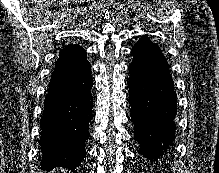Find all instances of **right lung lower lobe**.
Returning a JSON list of instances; mask_svg holds the SVG:
<instances>
[{
    "instance_id": "obj_1",
    "label": "right lung lower lobe",
    "mask_w": 219,
    "mask_h": 173,
    "mask_svg": "<svg viewBox=\"0 0 219 173\" xmlns=\"http://www.w3.org/2000/svg\"><path fill=\"white\" fill-rule=\"evenodd\" d=\"M91 65L83 54L56 62L41 117V168L74 170L83 161L92 119Z\"/></svg>"
}]
</instances>
